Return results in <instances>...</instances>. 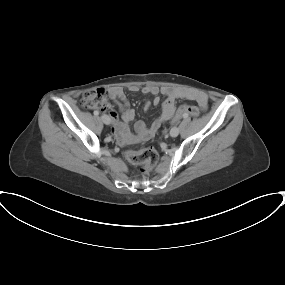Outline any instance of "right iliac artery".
Segmentation results:
<instances>
[{
    "label": "right iliac artery",
    "mask_w": 285,
    "mask_h": 285,
    "mask_svg": "<svg viewBox=\"0 0 285 285\" xmlns=\"http://www.w3.org/2000/svg\"><path fill=\"white\" fill-rule=\"evenodd\" d=\"M99 114V112L98 111H94V115H98Z\"/></svg>",
    "instance_id": "82829eb1"
}]
</instances>
